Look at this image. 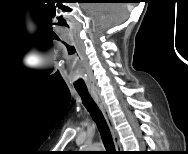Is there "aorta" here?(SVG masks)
Returning <instances> with one entry per match:
<instances>
[{"instance_id":"obj_1","label":"aorta","mask_w":188,"mask_h":154,"mask_svg":"<svg viewBox=\"0 0 188 154\" xmlns=\"http://www.w3.org/2000/svg\"><path fill=\"white\" fill-rule=\"evenodd\" d=\"M90 148H92V149H101L102 145L101 144H96V145L91 146Z\"/></svg>"}]
</instances>
